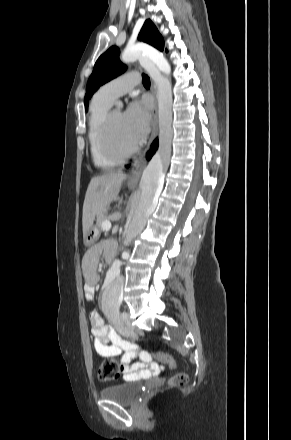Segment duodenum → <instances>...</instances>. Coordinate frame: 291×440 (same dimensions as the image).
<instances>
[{
    "mask_svg": "<svg viewBox=\"0 0 291 440\" xmlns=\"http://www.w3.org/2000/svg\"><path fill=\"white\" fill-rule=\"evenodd\" d=\"M106 259L109 264H113L115 260L114 250H110L109 252L106 253Z\"/></svg>",
    "mask_w": 291,
    "mask_h": 440,
    "instance_id": "obj_1",
    "label": "duodenum"
}]
</instances>
